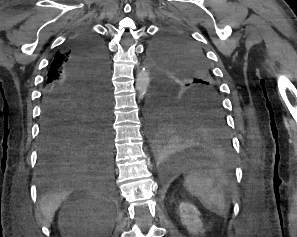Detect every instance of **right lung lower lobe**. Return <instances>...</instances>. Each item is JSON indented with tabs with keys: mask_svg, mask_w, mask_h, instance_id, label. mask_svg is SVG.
I'll use <instances>...</instances> for the list:
<instances>
[{
	"mask_svg": "<svg viewBox=\"0 0 297 237\" xmlns=\"http://www.w3.org/2000/svg\"><path fill=\"white\" fill-rule=\"evenodd\" d=\"M67 47L69 82L46 87L42 98L39 171L110 173L112 141L108 57L102 40L88 31Z\"/></svg>",
	"mask_w": 297,
	"mask_h": 237,
	"instance_id": "98d812e1",
	"label": "right lung lower lobe"
}]
</instances>
